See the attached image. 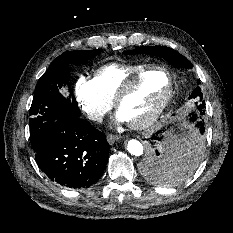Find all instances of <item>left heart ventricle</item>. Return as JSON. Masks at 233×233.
<instances>
[{
    "instance_id": "b2bd125f",
    "label": "left heart ventricle",
    "mask_w": 233,
    "mask_h": 233,
    "mask_svg": "<svg viewBox=\"0 0 233 233\" xmlns=\"http://www.w3.org/2000/svg\"><path fill=\"white\" fill-rule=\"evenodd\" d=\"M168 85L167 75L162 71L149 73L124 99L120 114L128 122L146 116L164 95Z\"/></svg>"
}]
</instances>
